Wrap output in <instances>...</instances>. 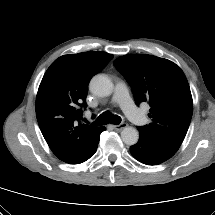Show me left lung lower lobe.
Returning <instances> with one entry per match:
<instances>
[{"label": "left lung lower lobe", "instance_id": "1", "mask_svg": "<svg viewBox=\"0 0 215 215\" xmlns=\"http://www.w3.org/2000/svg\"><path fill=\"white\" fill-rule=\"evenodd\" d=\"M138 142L130 147L132 156L146 165H158L171 158L178 149L154 138L152 134L140 127Z\"/></svg>", "mask_w": 215, "mask_h": 215}]
</instances>
